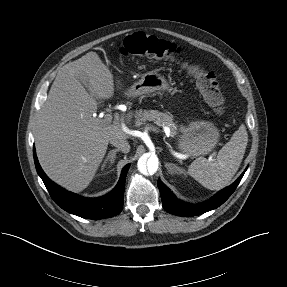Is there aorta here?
<instances>
[{"label": "aorta", "instance_id": "762f6f07", "mask_svg": "<svg viewBox=\"0 0 287 287\" xmlns=\"http://www.w3.org/2000/svg\"><path fill=\"white\" fill-rule=\"evenodd\" d=\"M159 161L156 155L150 157H141L138 160V170L143 174H154L158 169Z\"/></svg>", "mask_w": 287, "mask_h": 287}]
</instances>
